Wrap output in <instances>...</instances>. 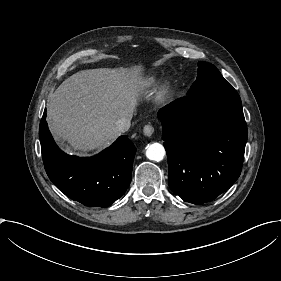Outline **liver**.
Segmentation results:
<instances>
[{
	"label": "liver",
	"instance_id": "1",
	"mask_svg": "<svg viewBox=\"0 0 281 281\" xmlns=\"http://www.w3.org/2000/svg\"><path fill=\"white\" fill-rule=\"evenodd\" d=\"M142 65L79 71L50 95L47 122L56 141L86 153L109 146L120 135L116 121L133 114L151 83Z\"/></svg>",
	"mask_w": 281,
	"mask_h": 281
}]
</instances>
